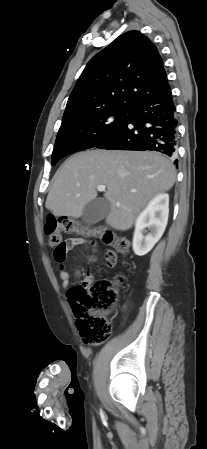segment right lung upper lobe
<instances>
[{
  "mask_svg": "<svg viewBox=\"0 0 207 449\" xmlns=\"http://www.w3.org/2000/svg\"><path fill=\"white\" fill-rule=\"evenodd\" d=\"M170 90L157 47L138 31L116 38L86 65L67 102L65 120L106 108H134Z\"/></svg>",
  "mask_w": 207,
  "mask_h": 449,
  "instance_id": "obj_1",
  "label": "right lung upper lobe"
}]
</instances>
